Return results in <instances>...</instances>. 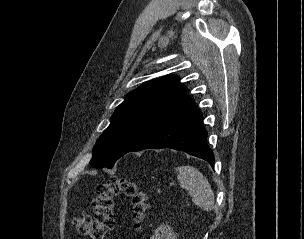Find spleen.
I'll return each mask as SVG.
<instances>
[{"label": "spleen", "instance_id": "obj_1", "mask_svg": "<svg viewBox=\"0 0 304 239\" xmlns=\"http://www.w3.org/2000/svg\"><path fill=\"white\" fill-rule=\"evenodd\" d=\"M175 171L181 187L192 196L193 203L204 211L213 210L214 193L204 175L192 166H180Z\"/></svg>", "mask_w": 304, "mask_h": 239}]
</instances>
